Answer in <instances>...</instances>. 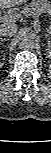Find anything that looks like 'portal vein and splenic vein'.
Segmentation results:
<instances>
[{
    "label": "portal vein and splenic vein",
    "instance_id": "18ae733b",
    "mask_svg": "<svg viewBox=\"0 0 51 153\" xmlns=\"http://www.w3.org/2000/svg\"><path fill=\"white\" fill-rule=\"evenodd\" d=\"M38 13H42V12H38ZM20 17H21V14L17 12H10L4 15L3 17H1V20L13 22V20L19 19Z\"/></svg>",
    "mask_w": 51,
    "mask_h": 153
}]
</instances>
